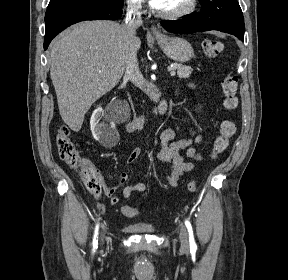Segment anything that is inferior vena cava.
Masks as SVG:
<instances>
[{
	"label": "inferior vena cava",
	"mask_w": 288,
	"mask_h": 280,
	"mask_svg": "<svg viewBox=\"0 0 288 280\" xmlns=\"http://www.w3.org/2000/svg\"><path fill=\"white\" fill-rule=\"evenodd\" d=\"M140 9V4H130L127 7L125 24L123 26L127 37L131 42L136 38V30L142 25ZM136 53V50L131 47L129 53L126 56L125 77L130 79L135 86L140 87V90H148V94H151L153 97V99L149 100V103L157 104L158 101H160V96H157L156 93V90L159 89V86L149 85L148 81H144V77L139 69ZM158 93L162 94L163 90L159 89Z\"/></svg>",
	"instance_id": "602c4592"
}]
</instances>
